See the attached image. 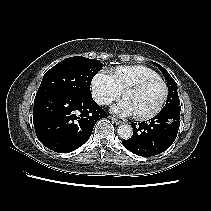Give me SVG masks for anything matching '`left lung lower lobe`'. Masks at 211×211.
I'll return each mask as SVG.
<instances>
[{
    "mask_svg": "<svg viewBox=\"0 0 211 211\" xmlns=\"http://www.w3.org/2000/svg\"><path fill=\"white\" fill-rule=\"evenodd\" d=\"M180 112L161 111L154 118L132 124L133 135L122 141L130 152L150 157L167 150L176 139L180 126Z\"/></svg>",
    "mask_w": 211,
    "mask_h": 211,
    "instance_id": "left-lung-lower-lobe-1",
    "label": "left lung lower lobe"
}]
</instances>
